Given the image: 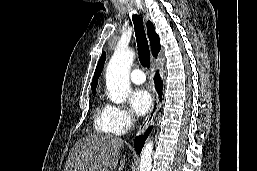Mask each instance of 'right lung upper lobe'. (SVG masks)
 <instances>
[{
  "instance_id": "1",
  "label": "right lung upper lobe",
  "mask_w": 257,
  "mask_h": 171,
  "mask_svg": "<svg viewBox=\"0 0 257 171\" xmlns=\"http://www.w3.org/2000/svg\"><path fill=\"white\" fill-rule=\"evenodd\" d=\"M147 33H148V37L150 40V45H151V50H152L153 56L157 57V55L161 49V45L159 44V36L155 32V27L150 21L147 22ZM105 59H106V54L103 53L99 59V62L97 64V67H96V70L94 73V77H93L92 83H91V89H92L93 94H95V88L98 84V78L102 72Z\"/></svg>"
}]
</instances>
